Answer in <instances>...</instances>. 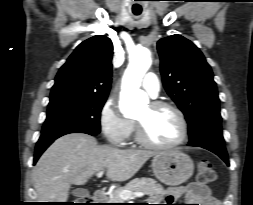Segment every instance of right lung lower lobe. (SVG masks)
<instances>
[{"label": "right lung lower lobe", "mask_w": 253, "mask_h": 205, "mask_svg": "<svg viewBox=\"0 0 253 205\" xmlns=\"http://www.w3.org/2000/svg\"><path fill=\"white\" fill-rule=\"evenodd\" d=\"M69 133H86L90 135H97L94 133H90L87 131L83 130H62L59 132H54V133H46L42 134L36 144L35 148V156H34V164L37 162L38 158L41 156V154L45 151V149L57 138L69 134Z\"/></svg>", "instance_id": "right-lung-lower-lobe-1"}]
</instances>
